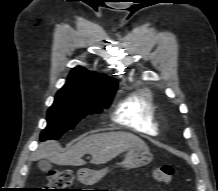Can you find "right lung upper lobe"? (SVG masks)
I'll return each mask as SVG.
<instances>
[{"label": "right lung upper lobe", "instance_id": "1", "mask_svg": "<svg viewBox=\"0 0 218 191\" xmlns=\"http://www.w3.org/2000/svg\"><path fill=\"white\" fill-rule=\"evenodd\" d=\"M117 81L82 67L74 68L61 91L83 97L105 98L114 95Z\"/></svg>", "mask_w": 218, "mask_h": 191}]
</instances>
